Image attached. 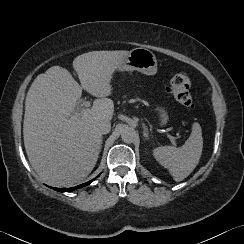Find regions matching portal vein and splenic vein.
<instances>
[{
  "label": "portal vein and splenic vein",
  "instance_id": "18ae733b",
  "mask_svg": "<svg viewBox=\"0 0 244 244\" xmlns=\"http://www.w3.org/2000/svg\"><path fill=\"white\" fill-rule=\"evenodd\" d=\"M90 105H91V103H90L89 101H85V102L83 103V106H84L85 108L90 107ZM169 139H170V141H171L174 145H176V138H175V137L169 135Z\"/></svg>",
  "mask_w": 244,
  "mask_h": 244
}]
</instances>
